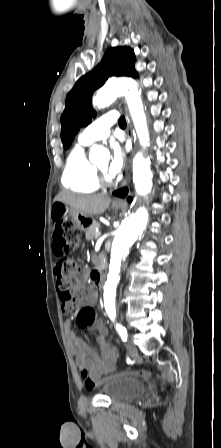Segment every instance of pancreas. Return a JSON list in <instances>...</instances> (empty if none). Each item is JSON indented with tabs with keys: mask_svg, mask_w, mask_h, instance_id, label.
<instances>
[{
	"mask_svg": "<svg viewBox=\"0 0 221 448\" xmlns=\"http://www.w3.org/2000/svg\"><path fill=\"white\" fill-rule=\"evenodd\" d=\"M94 227H95V224H92V226L87 229L86 235H85L87 240L96 239V232L94 230Z\"/></svg>",
	"mask_w": 221,
	"mask_h": 448,
	"instance_id": "obj_1",
	"label": "pancreas"
}]
</instances>
